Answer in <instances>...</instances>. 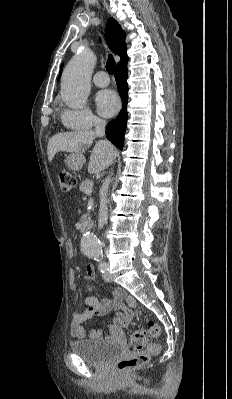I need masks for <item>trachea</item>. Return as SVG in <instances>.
Returning <instances> with one entry per match:
<instances>
[{"mask_svg": "<svg viewBox=\"0 0 232 399\" xmlns=\"http://www.w3.org/2000/svg\"><path fill=\"white\" fill-rule=\"evenodd\" d=\"M115 60H114V58L112 57V55H109V58H108V60H107V64H106V70H107V72L110 74V75H112L113 73H114V71H115Z\"/></svg>", "mask_w": 232, "mask_h": 399, "instance_id": "trachea-1", "label": "trachea"}]
</instances>
